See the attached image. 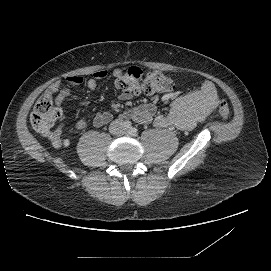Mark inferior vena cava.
Segmentation results:
<instances>
[{"mask_svg":"<svg viewBox=\"0 0 271 271\" xmlns=\"http://www.w3.org/2000/svg\"><path fill=\"white\" fill-rule=\"evenodd\" d=\"M110 132L115 136H120L125 131L124 124L119 120H114L109 125Z\"/></svg>","mask_w":271,"mask_h":271,"instance_id":"obj_1","label":"inferior vena cava"}]
</instances>
